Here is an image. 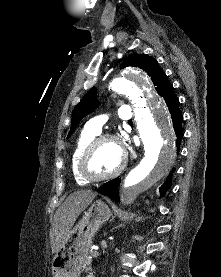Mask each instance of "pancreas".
Segmentation results:
<instances>
[{
	"instance_id": "pancreas-1",
	"label": "pancreas",
	"mask_w": 221,
	"mask_h": 277,
	"mask_svg": "<svg viewBox=\"0 0 221 277\" xmlns=\"http://www.w3.org/2000/svg\"><path fill=\"white\" fill-rule=\"evenodd\" d=\"M92 256H95V251L90 250L88 253V257L86 258L84 264H83V268L85 270H91V264H92Z\"/></svg>"
}]
</instances>
